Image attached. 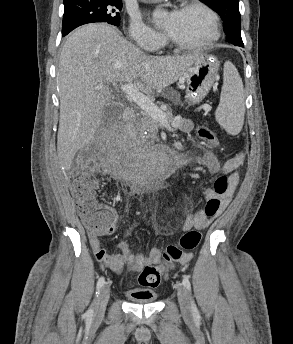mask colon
I'll return each instance as SVG.
<instances>
[{"instance_id": "obj_1", "label": "colon", "mask_w": 293, "mask_h": 344, "mask_svg": "<svg viewBox=\"0 0 293 344\" xmlns=\"http://www.w3.org/2000/svg\"><path fill=\"white\" fill-rule=\"evenodd\" d=\"M199 135L210 146H217L219 140L216 134L207 128H200ZM98 182L92 172L86 171L75 178L72 185V193L76 200V209L82 218L85 227L91 237L111 234L114 230L116 217L114 212L97 203L95 190ZM230 189V181L227 176H220L214 184L216 197L207 201L205 213L207 216H215L221 206L220 197L225 196ZM202 234L193 229L185 232L177 243L169 245L162 254L161 261L156 265L144 267L139 282L148 288H157L161 283V277L166 264L180 261L187 253L194 251Z\"/></svg>"}]
</instances>
